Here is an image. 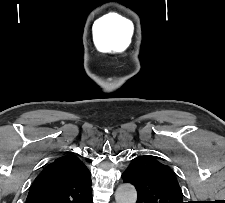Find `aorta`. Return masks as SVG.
Wrapping results in <instances>:
<instances>
[{"mask_svg": "<svg viewBox=\"0 0 225 203\" xmlns=\"http://www.w3.org/2000/svg\"><path fill=\"white\" fill-rule=\"evenodd\" d=\"M116 203H136L137 191L131 184H121L115 192Z\"/></svg>", "mask_w": 225, "mask_h": 203, "instance_id": "obj_1", "label": "aorta"}]
</instances>
